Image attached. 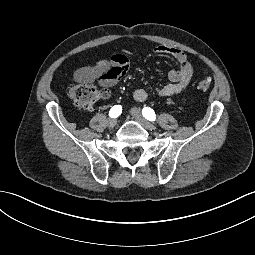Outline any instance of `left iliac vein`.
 <instances>
[{
    "instance_id": "obj_1",
    "label": "left iliac vein",
    "mask_w": 255,
    "mask_h": 255,
    "mask_svg": "<svg viewBox=\"0 0 255 255\" xmlns=\"http://www.w3.org/2000/svg\"><path fill=\"white\" fill-rule=\"evenodd\" d=\"M131 114L134 117V119L141 124L145 129L149 130V131H154L156 129V127L151 124L150 122H148L141 114L140 109L133 107L131 109Z\"/></svg>"
}]
</instances>
